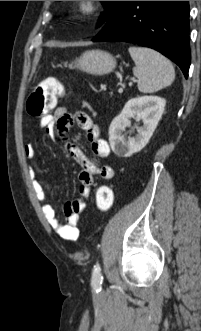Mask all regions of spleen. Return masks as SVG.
Masks as SVG:
<instances>
[{
  "mask_svg": "<svg viewBox=\"0 0 201 331\" xmlns=\"http://www.w3.org/2000/svg\"><path fill=\"white\" fill-rule=\"evenodd\" d=\"M129 53L135 63L133 74L142 93H153L172 84L175 71L172 63L151 48L131 46Z\"/></svg>",
  "mask_w": 201,
  "mask_h": 331,
  "instance_id": "spleen-1",
  "label": "spleen"
}]
</instances>
